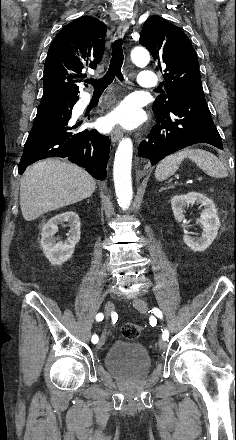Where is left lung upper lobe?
<instances>
[{"instance_id":"1","label":"left lung upper lobe","mask_w":236,"mask_h":440,"mask_svg":"<svg viewBox=\"0 0 236 440\" xmlns=\"http://www.w3.org/2000/svg\"><path fill=\"white\" fill-rule=\"evenodd\" d=\"M139 43L151 53L156 68L164 71L162 95L153 103L155 115L170 111L182 96L203 93L196 52L186 34L160 16L143 25Z\"/></svg>"}]
</instances>
